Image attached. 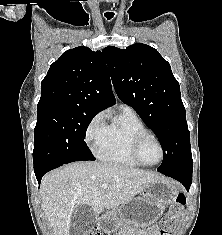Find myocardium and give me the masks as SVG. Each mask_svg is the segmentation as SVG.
<instances>
[{"instance_id": "obj_1", "label": "myocardium", "mask_w": 222, "mask_h": 235, "mask_svg": "<svg viewBox=\"0 0 222 235\" xmlns=\"http://www.w3.org/2000/svg\"><path fill=\"white\" fill-rule=\"evenodd\" d=\"M148 140H154L160 149V159L156 163H153V164H149V163L144 162L141 157V148H142L143 144ZM131 155H132L133 159L139 165L145 166V167H154V166L159 165L163 161V159L165 157V150H164L163 144L159 140V138L157 136H155L154 134L148 132V133L139 134L134 139L132 146H131Z\"/></svg>"}]
</instances>
